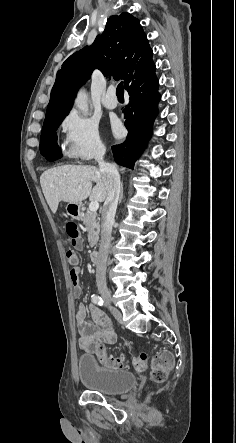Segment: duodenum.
<instances>
[{
    "mask_svg": "<svg viewBox=\"0 0 236 443\" xmlns=\"http://www.w3.org/2000/svg\"><path fill=\"white\" fill-rule=\"evenodd\" d=\"M80 206L79 205H77L76 206V212H75V215H80ZM90 260H91V262L94 264V265H97V264H99V256H98V254L96 253V252H92L91 254H90Z\"/></svg>",
    "mask_w": 236,
    "mask_h": 443,
    "instance_id": "1",
    "label": "duodenum"
}]
</instances>
